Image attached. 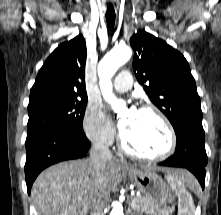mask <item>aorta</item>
I'll use <instances>...</instances> for the list:
<instances>
[{
  "label": "aorta",
  "instance_id": "obj_1",
  "mask_svg": "<svg viewBox=\"0 0 221 215\" xmlns=\"http://www.w3.org/2000/svg\"><path fill=\"white\" fill-rule=\"evenodd\" d=\"M132 56V50L127 45H119L107 53L98 64L99 85L104 99L119 110L125 105L113 94L111 78L114 76L120 66L125 64ZM110 215H124L122 203L113 202V208Z\"/></svg>",
  "mask_w": 221,
  "mask_h": 215
}]
</instances>
